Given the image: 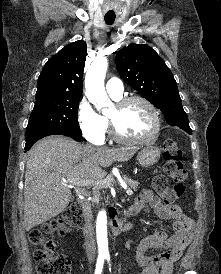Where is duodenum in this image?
Returning a JSON list of instances; mask_svg holds the SVG:
<instances>
[{"mask_svg": "<svg viewBox=\"0 0 221 274\" xmlns=\"http://www.w3.org/2000/svg\"><path fill=\"white\" fill-rule=\"evenodd\" d=\"M78 204L83 210V215L85 219V227L84 231L87 230V228L90 225L91 222V212L89 208V202L86 197H81L78 199ZM133 213L132 207L129 208L124 215L118 216L114 212L110 213V222H111V230L114 235H119L122 232L125 231L126 225H127V220Z\"/></svg>", "mask_w": 221, "mask_h": 274, "instance_id": "1", "label": "duodenum"}]
</instances>
